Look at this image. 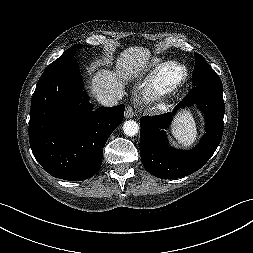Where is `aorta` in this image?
<instances>
[{
  "instance_id": "762f6f07",
  "label": "aorta",
  "mask_w": 253,
  "mask_h": 253,
  "mask_svg": "<svg viewBox=\"0 0 253 253\" xmlns=\"http://www.w3.org/2000/svg\"><path fill=\"white\" fill-rule=\"evenodd\" d=\"M123 131L127 136H135L139 132V125L134 120H128L123 125Z\"/></svg>"
}]
</instances>
